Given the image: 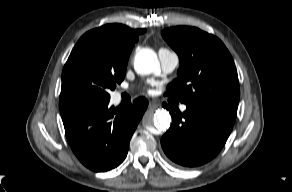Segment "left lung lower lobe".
Here are the masks:
<instances>
[{
    "label": "left lung lower lobe",
    "mask_w": 292,
    "mask_h": 192,
    "mask_svg": "<svg viewBox=\"0 0 292 192\" xmlns=\"http://www.w3.org/2000/svg\"><path fill=\"white\" fill-rule=\"evenodd\" d=\"M163 106L172 116V125L161 139L165 154L178 165L196 167L212 160L226 143L236 111L204 106H187L185 112Z\"/></svg>",
    "instance_id": "left-lung-lower-lobe-1"
}]
</instances>
